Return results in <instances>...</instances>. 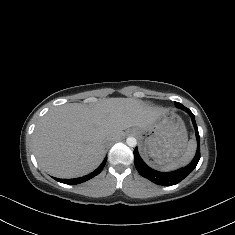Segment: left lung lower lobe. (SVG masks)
<instances>
[{"instance_id": "0a47b994", "label": "left lung lower lobe", "mask_w": 235, "mask_h": 235, "mask_svg": "<svg viewBox=\"0 0 235 235\" xmlns=\"http://www.w3.org/2000/svg\"><path fill=\"white\" fill-rule=\"evenodd\" d=\"M187 113L190 114L192 118V122L195 128V133H196V138H197V152L196 155L193 159V161L186 167L178 169L176 171L168 172V173H162L158 172L156 170L151 169L148 167L141 157L138 154L137 148L134 150V164L139 172V174L148 180L154 182L157 185H175L182 181L185 177H187L197 166L199 159H200V138H199V133H198V128L195 122L194 114L187 108L185 110Z\"/></svg>"}]
</instances>
